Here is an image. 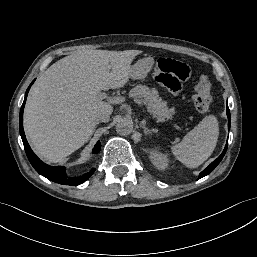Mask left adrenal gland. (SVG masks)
<instances>
[{"instance_id":"1","label":"left adrenal gland","mask_w":257,"mask_h":257,"mask_svg":"<svg viewBox=\"0 0 257 257\" xmlns=\"http://www.w3.org/2000/svg\"><path fill=\"white\" fill-rule=\"evenodd\" d=\"M140 127L143 129L145 135L151 134L152 132H154V133H157V132H158V129H149V128L146 126V121H145V120H142V121H141Z\"/></svg>"}]
</instances>
